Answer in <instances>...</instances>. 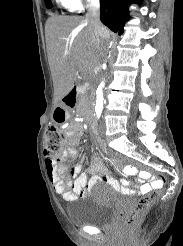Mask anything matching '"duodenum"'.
<instances>
[{
	"mask_svg": "<svg viewBox=\"0 0 183 246\" xmlns=\"http://www.w3.org/2000/svg\"><path fill=\"white\" fill-rule=\"evenodd\" d=\"M82 91L83 87L81 85L73 86L66 94V96L63 97L67 109H73L77 106L79 96ZM94 143L97 144L98 148H107V143H103L102 136H99L98 139H95Z\"/></svg>",
	"mask_w": 183,
	"mask_h": 246,
	"instance_id": "1",
	"label": "duodenum"
}]
</instances>
